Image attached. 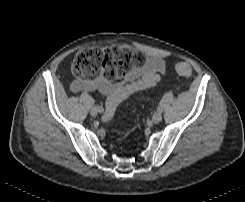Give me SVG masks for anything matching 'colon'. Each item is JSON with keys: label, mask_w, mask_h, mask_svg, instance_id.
Masks as SVG:
<instances>
[{"label": "colon", "mask_w": 245, "mask_h": 202, "mask_svg": "<svg viewBox=\"0 0 245 202\" xmlns=\"http://www.w3.org/2000/svg\"><path fill=\"white\" fill-rule=\"evenodd\" d=\"M145 62L144 55L134 51L129 45L121 44L111 47H87L76 52L71 62L73 74L79 78L93 80L105 77L110 80L123 78L134 67H141ZM181 76H189L190 65L179 62L175 66ZM115 107L108 104L104 120H109Z\"/></svg>", "instance_id": "obj_1"}]
</instances>
